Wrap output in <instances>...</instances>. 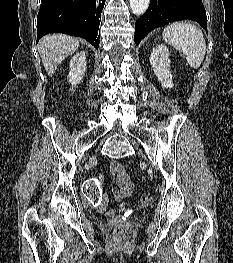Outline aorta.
Returning a JSON list of instances; mask_svg holds the SVG:
<instances>
[{
    "label": "aorta",
    "mask_w": 233,
    "mask_h": 263,
    "mask_svg": "<svg viewBox=\"0 0 233 263\" xmlns=\"http://www.w3.org/2000/svg\"><path fill=\"white\" fill-rule=\"evenodd\" d=\"M149 2L150 0H130V8L134 14L141 15L147 10Z\"/></svg>",
    "instance_id": "762f6f07"
}]
</instances>
